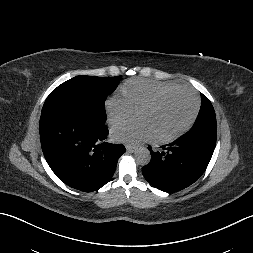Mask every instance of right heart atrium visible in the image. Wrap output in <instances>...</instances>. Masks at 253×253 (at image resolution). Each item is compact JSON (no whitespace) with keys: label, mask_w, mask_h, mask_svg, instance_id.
Listing matches in <instances>:
<instances>
[{"label":"right heart atrium","mask_w":253,"mask_h":253,"mask_svg":"<svg viewBox=\"0 0 253 253\" xmlns=\"http://www.w3.org/2000/svg\"><path fill=\"white\" fill-rule=\"evenodd\" d=\"M105 108L110 125L126 123L134 114V110L128 102L119 96H113L107 99Z\"/></svg>","instance_id":"d8ad5b80"}]
</instances>
